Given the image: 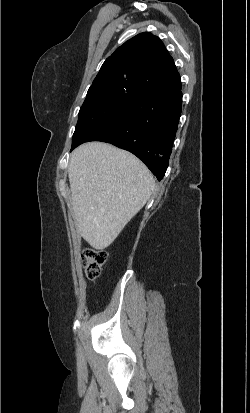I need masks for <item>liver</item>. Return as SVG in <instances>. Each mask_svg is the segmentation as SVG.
<instances>
[{
  "instance_id": "6515ba94",
  "label": "liver",
  "mask_w": 250,
  "mask_h": 413,
  "mask_svg": "<svg viewBox=\"0 0 250 413\" xmlns=\"http://www.w3.org/2000/svg\"><path fill=\"white\" fill-rule=\"evenodd\" d=\"M75 225L97 250L107 248L151 197L155 180L133 154L103 142L76 148L68 168Z\"/></svg>"
}]
</instances>
